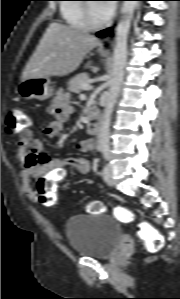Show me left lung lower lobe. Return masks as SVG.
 Here are the masks:
<instances>
[{
	"label": "left lung lower lobe",
	"instance_id": "0a47b994",
	"mask_svg": "<svg viewBox=\"0 0 180 299\" xmlns=\"http://www.w3.org/2000/svg\"><path fill=\"white\" fill-rule=\"evenodd\" d=\"M139 1H146V0H139ZM111 31H112L111 28L102 30V31H100V32L97 33V36H99V37H105V36H107V35H110V34H111Z\"/></svg>",
	"mask_w": 180,
	"mask_h": 299
}]
</instances>
